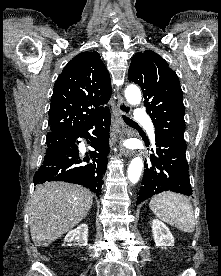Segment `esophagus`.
I'll return each instance as SVG.
<instances>
[{
	"mask_svg": "<svg viewBox=\"0 0 221 276\" xmlns=\"http://www.w3.org/2000/svg\"><path fill=\"white\" fill-rule=\"evenodd\" d=\"M117 108H118L117 122L119 124L118 132L121 133L123 137L130 136V130L125 125L122 119V115L131 114L130 106L122 98H119L117 102ZM122 153L126 157H132L134 155V152L129 149H123Z\"/></svg>",
	"mask_w": 221,
	"mask_h": 276,
	"instance_id": "esophagus-1",
	"label": "esophagus"
}]
</instances>
